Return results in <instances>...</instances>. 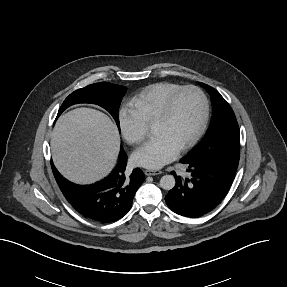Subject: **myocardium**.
Masks as SVG:
<instances>
[{
  "label": "myocardium",
  "instance_id": "f54148a6",
  "mask_svg": "<svg viewBox=\"0 0 287 287\" xmlns=\"http://www.w3.org/2000/svg\"><path fill=\"white\" fill-rule=\"evenodd\" d=\"M187 91H193L198 94L201 100V105H202V115H201V120L194 131V133L191 135V137L179 148L180 152H184L191 148L197 140L200 138L202 133L204 132L208 118H209V102L206 94L203 92L202 89H200L197 86L194 85H188V86H183L180 87L178 90L173 92L165 101L160 113L157 115L155 118L153 125L158 124V123H163L168 120V118L171 115L173 105L176 101V99L184 92Z\"/></svg>",
  "mask_w": 287,
  "mask_h": 287
}]
</instances>
